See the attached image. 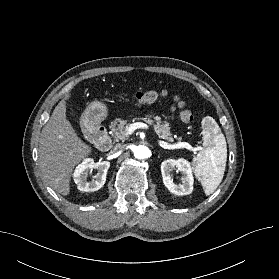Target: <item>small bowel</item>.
Here are the masks:
<instances>
[{
    "label": "small bowel",
    "mask_w": 279,
    "mask_h": 279,
    "mask_svg": "<svg viewBox=\"0 0 279 279\" xmlns=\"http://www.w3.org/2000/svg\"><path fill=\"white\" fill-rule=\"evenodd\" d=\"M172 110H175V107H172Z\"/></svg>",
    "instance_id": "obj_1"
}]
</instances>
